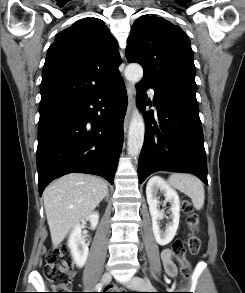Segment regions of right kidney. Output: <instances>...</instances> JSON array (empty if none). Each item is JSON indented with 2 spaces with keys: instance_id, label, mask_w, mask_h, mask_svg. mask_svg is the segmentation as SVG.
I'll use <instances>...</instances> for the list:
<instances>
[{
  "instance_id": "right-kidney-1",
  "label": "right kidney",
  "mask_w": 245,
  "mask_h": 293,
  "mask_svg": "<svg viewBox=\"0 0 245 293\" xmlns=\"http://www.w3.org/2000/svg\"><path fill=\"white\" fill-rule=\"evenodd\" d=\"M98 220L99 215L97 212H93L86 216V221L90 222L92 229L96 228ZM81 233L82 227L81 224L78 223L73 228L68 238V247L71 251L73 261L80 268L85 265L89 253L88 244H86L85 239L83 238Z\"/></svg>"
}]
</instances>
